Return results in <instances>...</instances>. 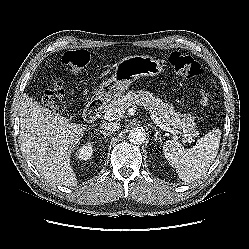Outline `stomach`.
<instances>
[{"label":"stomach","instance_id":"1","mask_svg":"<svg viewBox=\"0 0 249 249\" xmlns=\"http://www.w3.org/2000/svg\"><path fill=\"white\" fill-rule=\"evenodd\" d=\"M164 71V65L148 55L126 57L114 65L111 78L96 90L99 99L109 100L124 93L132 83L143 76H156Z\"/></svg>","mask_w":249,"mask_h":249}]
</instances>
